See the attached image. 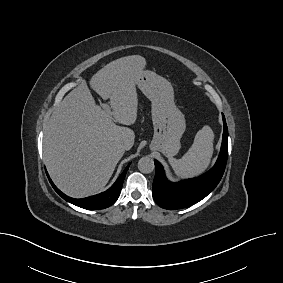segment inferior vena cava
<instances>
[{
	"mask_svg": "<svg viewBox=\"0 0 283 283\" xmlns=\"http://www.w3.org/2000/svg\"><path fill=\"white\" fill-rule=\"evenodd\" d=\"M122 147H123L124 149H128V145H127L126 143H123V144H122Z\"/></svg>",
	"mask_w": 283,
	"mask_h": 283,
	"instance_id": "1",
	"label": "inferior vena cava"
}]
</instances>
